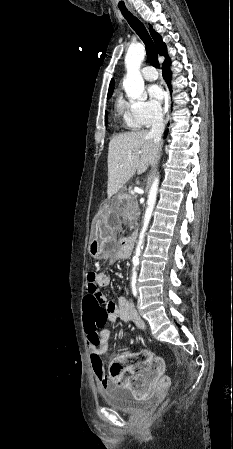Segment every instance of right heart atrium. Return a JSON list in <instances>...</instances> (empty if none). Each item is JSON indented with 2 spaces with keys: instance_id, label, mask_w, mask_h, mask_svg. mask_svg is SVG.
<instances>
[{
  "instance_id": "d8ad5b80",
  "label": "right heart atrium",
  "mask_w": 233,
  "mask_h": 449,
  "mask_svg": "<svg viewBox=\"0 0 233 449\" xmlns=\"http://www.w3.org/2000/svg\"><path fill=\"white\" fill-rule=\"evenodd\" d=\"M134 112L141 125L150 126L162 117L160 106L150 100L134 102Z\"/></svg>"
}]
</instances>
